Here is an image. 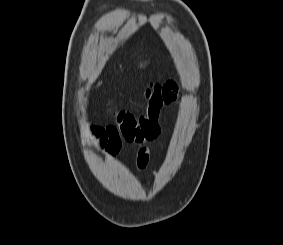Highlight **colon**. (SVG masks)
<instances>
[{"mask_svg": "<svg viewBox=\"0 0 283 245\" xmlns=\"http://www.w3.org/2000/svg\"><path fill=\"white\" fill-rule=\"evenodd\" d=\"M162 106V85L153 82L145 91L144 110L140 115H134L127 111L112 112L116 123L115 127L128 142L136 144L151 143L160 134L158 120Z\"/></svg>", "mask_w": 283, "mask_h": 245, "instance_id": "5ec220e1", "label": "colon"}]
</instances>
